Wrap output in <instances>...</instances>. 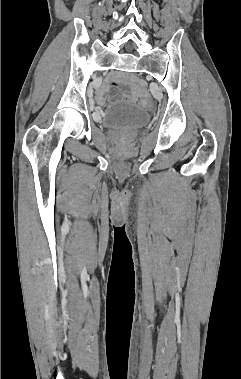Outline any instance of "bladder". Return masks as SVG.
I'll return each mask as SVG.
<instances>
[{
	"mask_svg": "<svg viewBox=\"0 0 241 379\" xmlns=\"http://www.w3.org/2000/svg\"><path fill=\"white\" fill-rule=\"evenodd\" d=\"M150 121L147 110L132 104L119 103L109 107L101 116V123L110 129L137 130Z\"/></svg>",
	"mask_w": 241,
	"mask_h": 379,
	"instance_id": "obj_1",
	"label": "bladder"
}]
</instances>
